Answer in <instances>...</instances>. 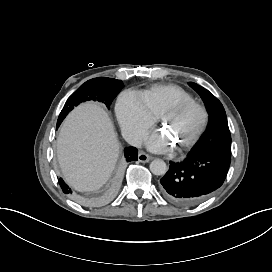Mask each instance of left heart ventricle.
Instances as JSON below:
<instances>
[{"instance_id": "obj_1", "label": "left heart ventricle", "mask_w": 272, "mask_h": 272, "mask_svg": "<svg viewBox=\"0 0 272 272\" xmlns=\"http://www.w3.org/2000/svg\"><path fill=\"white\" fill-rule=\"evenodd\" d=\"M198 121V112L188 110L178 113H167L164 122L171 125L175 135L183 142L190 134Z\"/></svg>"}]
</instances>
